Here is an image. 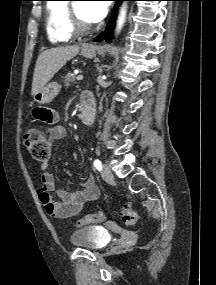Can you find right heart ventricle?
<instances>
[{
	"label": "right heart ventricle",
	"mask_w": 216,
	"mask_h": 285,
	"mask_svg": "<svg viewBox=\"0 0 216 285\" xmlns=\"http://www.w3.org/2000/svg\"><path fill=\"white\" fill-rule=\"evenodd\" d=\"M45 28L52 44L69 42L73 34L68 26V4L63 0H51L46 4Z\"/></svg>",
	"instance_id": "1"
}]
</instances>
